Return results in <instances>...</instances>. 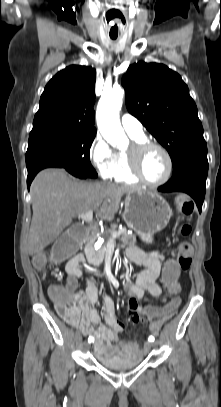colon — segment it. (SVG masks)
I'll return each mask as SVG.
<instances>
[{"label":"colon","instance_id":"colon-1","mask_svg":"<svg viewBox=\"0 0 221 407\" xmlns=\"http://www.w3.org/2000/svg\"><path fill=\"white\" fill-rule=\"evenodd\" d=\"M176 208L187 220L192 217L194 206L188 197L180 195L176 198ZM87 222H72L69 230L64 234H59L57 246H54L53 253L48 254V259L56 261H68L69 255H78L79 249L83 246V239H88ZM191 225L185 222L180 227V233L187 236L191 233ZM193 244L184 240L178 251L177 258H165L161 289L167 292L170 286H178L179 277L182 276V270L189 269L192 262ZM35 269L38 272L43 270L48 263L46 257L40 254L34 255ZM56 265V262H53ZM49 294L54 302L55 308L60 315H66L70 312L77 301L75 290L69 286L54 285L50 287ZM183 302L181 295H174L168 304L161 305H144L141 307V314H138L137 320L151 322L154 318H169L171 313L179 311L180 304Z\"/></svg>","mask_w":221,"mask_h":407}]
</instances>
